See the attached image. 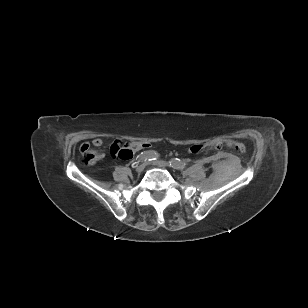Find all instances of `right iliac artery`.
Wrapping results in <instances>:
<instances>
[{
    "label": "right iliac artery",
    "instance_id": "right-iliac-artery-1",
    "mask_svg": "<svg viewBox=\"0 0 308 308\" xmlns=\"http://www.w3.org/2000/svg\"><path fill=\"white\" fill-rule=\"evenodd\" d=\"M159 154L156 151L149 150V151H144L142 152L138 157V162H143V161H153L158 159Z\"/></svg>",
    "mask_w": 308,
    "mask_h": 308
}]
</instances>
